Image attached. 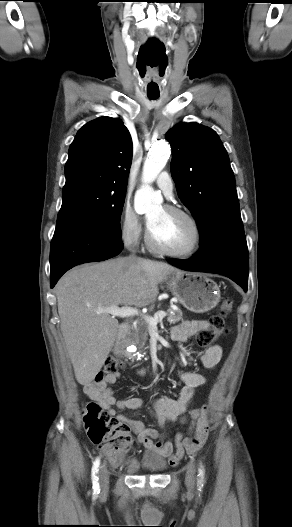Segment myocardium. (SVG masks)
<instances>
[{
    "label": "myocardium",
    "instance_id": "f54148a6",
    "mask_svg": "<svg viewBox=\"0 0 292 527\" xmlns=\"http://www.w3.org/2000/svg\"><path fill=\"white\" fill-rule=\"evenodd\" d=\"M163 209L170 213L180 215L189 221V223L192 226L193 233H194L192 243L188 248L184 250H171V249L165 248L155 242V240L153 239L151 235L150 229L148 228L146 231V235H145L146 245L148 246L150 250L158 254H162V255H166V256H170L174 258L192 257L200 249L201 244H202V239H203L202 229H201V226L198 220L188 210H185L177 206L165 205L163 206Z\"/></svg>",
    "mask_w": 292,
    "mask_h": 527
}]
</instances>
